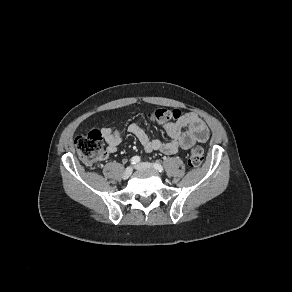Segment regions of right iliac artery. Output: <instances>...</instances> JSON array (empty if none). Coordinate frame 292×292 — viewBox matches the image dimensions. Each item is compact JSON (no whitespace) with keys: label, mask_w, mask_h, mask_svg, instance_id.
I'll return each instance as SVG.
<instances>
[{"label":"right iliac artery","mask_w":292,"mask_h":292,"mask_svg":"<svg viewBox=\"0 0 292 292\" xmlns=\"http://www.w3.org/2000/svg\"><path fill=\"white\" fill-rule=\"evenodd\" d=\"M130 161H131L132 165H135V164L140 162V157L139 156H134V157L131 158Z\"/></svg>","instance_id":"right-iliac-artery-1"}]
</instances>
